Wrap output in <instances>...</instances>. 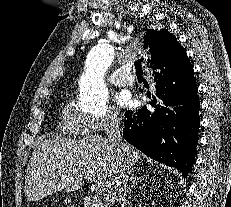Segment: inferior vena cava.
<instances>
[{"label":"inferior vena cava","instance_id":"1","mask_svg":"<svg viewBox=\"0 0 231 207\" xmlns=\"http://www.w3.org/2000/svg\"><path fill=\"white\" fill-rule=\"evenodd\" d=\"M106 134L111 147L119 152L122 147V138L120 134V123L117 116L111 118L106 127ZM127 182L128 174L123 170L119 173L116 179V195L121 207H124L126 204Z\"/></svg>","mask_w":231,"mask_h":207}]
</instances>
